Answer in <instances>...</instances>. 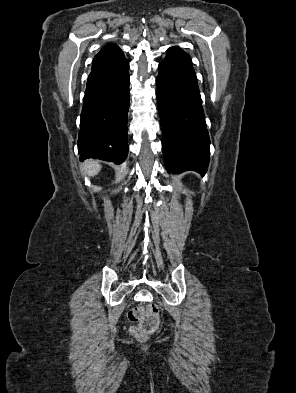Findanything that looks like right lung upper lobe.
Here are the masks:
<instances>
[{
    "instance_id": "obj_1",
    "label": "right lung upper lobe",
    "mask_w": 296,
    "mask_h": 393,
    "mask_svg": "<svg viewBox=\"0 0 296 393\" xmlns=\"http://www.w3.org/2000/svg\"><path fill=\"white\" fill-rule=\"evenodd\" d=\"M108 46H115V44H113V43H110V44H107Z\"/></svg>"
}]
</instances>
